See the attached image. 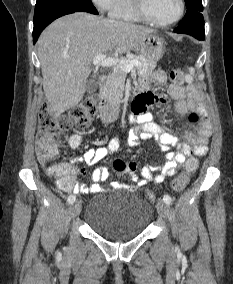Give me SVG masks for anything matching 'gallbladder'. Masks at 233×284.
I'll return each mask as SVG.
<instances>
[{
    "mask_svg": "<svg viewBox=\"0 0 233 284\" xmlns=\"http://www.w3.org/2000/svg\"><path fill=\"white\" fill-rule=\"evenodd\" d=\"M98 83L96 76H91L89 79L86 81V92L91 94L94 93L97 89Z\"/></svg>",
    "mask_w": 233,
    "mask_h": 284,
    "instance_id": "gallbladder-1",
    "label": "gallbladder"
}]
</instances>
